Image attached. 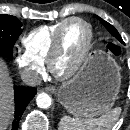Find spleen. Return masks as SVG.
<instances>
[{"label":"spleen","mask_w":130,"mask_h":130,"mask_svg":"<svg viewBox=\"0 0 130 130\" xmlns=\"http://www.w3.org/2000/svg\"><path fill=\"white\" fill-rule=\"evenodd\" d=\"M120 113L121 108L116 107L99 118L73 120L70 116H63L59 122V130H111Z\"/></svg>","instance_id":"3e777b00"}]
</instances>
